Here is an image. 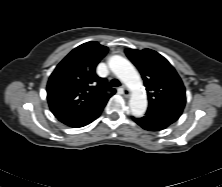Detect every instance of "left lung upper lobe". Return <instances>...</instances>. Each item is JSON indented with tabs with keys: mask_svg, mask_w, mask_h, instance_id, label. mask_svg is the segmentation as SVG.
Instances as JSON below:
<instances>
[{
	"mask_svg": "<svg viewBox=\"0 0 222 187\" xmlns=\"http://www.w3.org/2000/svg\"><path fill=\"white\" fill-rule=\"evenodd\" d=\"M125 53L141 73L148 94L149 108L184 109L186 96L183 82L162 55L150 49L128 48Z\"/></svg>",
	"mask_w": 222,
	"mask_h": 187,
	"instance_id": "left-lung-upper-lobe-1",
	"label": "left lung upper lobe"
}]
</instances>
